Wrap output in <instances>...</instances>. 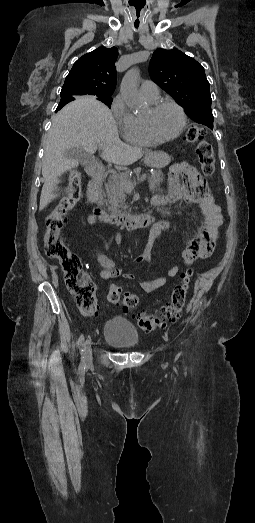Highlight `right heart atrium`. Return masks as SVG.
<instances>
[{
    "mask_svg": "<svg viewBox=\"0 0 255 523\" xmlns=\"http://www.w3.org/2000/svg\"><path fill=\"white\" fill-rule=\"evenodd\" d=\"M110 111L113 118L115 119L117 129H119L120 132H123L125 120L129 112L125 107L124 99L121 94H118L112 100L110 105Z\"/></svg>",
    "mask_w": 255,
    "mask_h": 523,
    "instance_id": "1",
    "label": "right heart atrium"
}]
</instances>
